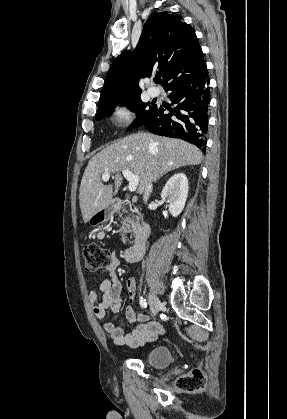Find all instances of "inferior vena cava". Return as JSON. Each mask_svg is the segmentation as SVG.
<instances>
[{
	"label": "inferior vena cava",
	"instance_id": "obj_1",
	"mask_svg": "<svg viewBox=\"0 0 287 419\" xmlns=\"http://www.w3.org/2000/svg\"><path fill=\"white\" fill-rule=\"evenodd\" d=\"M151 192H152V182L150 181L148 185L146 186L144 194H143V200L145 203L148 201Z\"/></svg>",
	"mask_w": 287,
	"mask_h": 419
}]
</instances>
